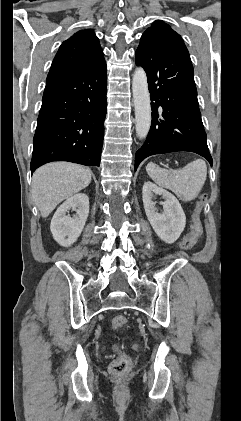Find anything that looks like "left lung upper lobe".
Segmentation results:
<instances>
[{
    "label": "left lung upper lobe",
    "mask_w": 241,
    "mask_h": 421,
    "mask_svg": "<svg viewBox=\"0 0 241 421\" xmlns=\"http://www.w3.org/2000/svg\"><path fill=\"white\" fill-rule=\"evenodd\" d=\"M144 34L152 35V36H159V37H165L170 38L179 42H183V39L180 37L178 33H176L174 30L171 29L169 25L164 23L161 20L155 21L151 27H149Z\"/></svg>",
    "instance_id": "5c2ea615"
}]
</instances>
